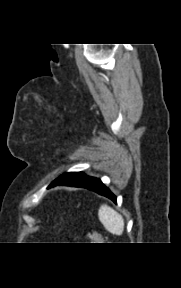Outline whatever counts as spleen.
Returning a JSON list of instances; mask_svg holds the SVG:
<instances>
[{
	"label": "spleen",
	"mask_w": 181,
	"mask_h": 288,
	"mask_svg": "<svg viewBox=\"0 0 181 288\" xmlns=\"http://www.w3.org/2000/svg\"><path fill=\"white\" fill-rule=\"evenodd\" d=\"M98 217L107 231L112 234L122 235L124 231V219L117 211L107 204H103L99 208Z\"/></svg>",
	"instance_id": "obj_1"
}]
</instances>
